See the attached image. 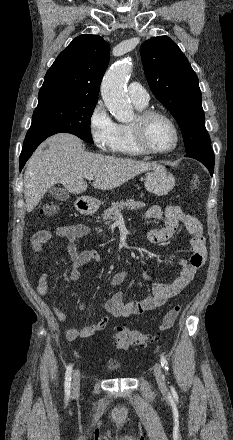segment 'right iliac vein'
Masks as SVG:
<instances>
[{"mask_svg": "<svg viewBox=\"0 0 233 440\" xmlns=\"http://www.w3.org/2000/svg\"><path fill=\"white\" fill-rule=\"evenodd\" d=\"M80 389V373L76 370L73 374L72 391L74 395L79 393Z\"/></svg>", "mask_w": 233, "mask_h": 440, "instance_id": "obj_1", "label": "right iliac vein"}]
</instances>
